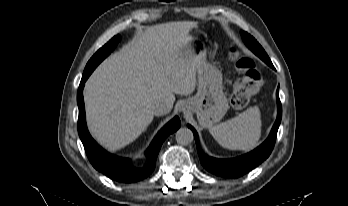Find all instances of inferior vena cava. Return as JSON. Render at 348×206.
<instances>
[{
    "label": "inferior vena cava",
    "instance_id": "obj_1",
    "mask_svg": "<svg viewBox=\"0 0 348 206\" xmlns=\"http://www.w3.org/2000/svg\"><path fill=\"white\" fill-rule=\"evenodd\" d=\"M169 112H170L169 108L165 105H158V106L154 107V109H153V113L155 116H162V115H165Z\"/></svg>",
    "mask_w": 348,
    "mask_h": 206
}]
</instances>
